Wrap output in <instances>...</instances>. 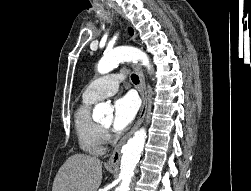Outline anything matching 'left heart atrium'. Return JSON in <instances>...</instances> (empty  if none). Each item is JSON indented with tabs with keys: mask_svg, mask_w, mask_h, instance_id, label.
Returning a JSON list of instances; mask_svg holds the SVG:
<instances>
[{
	"mask_svg": "<svg viewBox=\"0 0 251 191\" xmlns=\"http://www.w3.org/2000/svg\"><path fill=\"white\" fill-rule=\"evenodd\" d=\"M137 109V104L132 97L127 96L117 100L113 107V131H124L133 122Z\"/></svg>",
	"mask_w": 251,
	"mask_h": 191,
	"instance_id": "1",
	"label": "left heart atrium"
}]
</instances>
